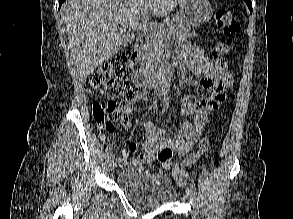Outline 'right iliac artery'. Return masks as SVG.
Here are the masks:
<instances>
[{"instance_id": "1", "label": "right iliac artery", "mask_w": 293, "mask_h": 219, "mask_svg": "<svg viewBox=\"0 0 293 219\" xmlns=\"http://www.w3.org/2000/svg\"><path fill=\"white\" fill-rule=\"evenodd\" d=\"M164 95H165L164 96V98H165V106H164V109L162 110V112L160 114H163L166 111V109L168 108V105H169V97L167 96L166 93ZM106 157L107 158H113V154L111 153L110 148L107 149V151H106Z\"/></svg>"}]
</instances>
